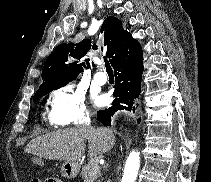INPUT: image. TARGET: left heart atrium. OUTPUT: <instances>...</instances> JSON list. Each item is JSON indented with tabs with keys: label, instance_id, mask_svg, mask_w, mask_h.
I'll return each instance as SVG.
<instances>
[{
	"label": "left heart atrium",
	"instance_id": "obj_1",
	"mask_svg": "<svg viewBox=\"0 0 211 182\" xmlns=\"http://www.w3.org/2000/svg\"><path fill=\"white\" fill-rule=\"evenodd\" d=\"M94 103L98 106L102 105L104 103V98L102 96H96L94 98Z\"/></svg>",
	"mask_w": 211,
	"mask_h": 182
}]
</instances>
